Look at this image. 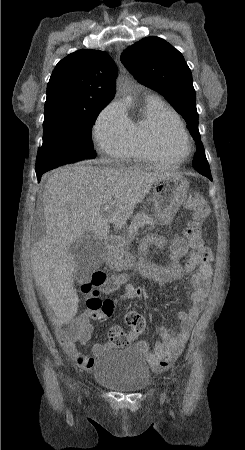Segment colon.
<instances>
[{"mask_svg":"<svg viewBox=\"0 0 245 450\" xmlns=\"http://www.w3.org/2000/svg\"><path fill=\"white\" fill-rule=\"evenodd\" d=\"M186 208L191 212L192 219L184 228V236L188 245L198 254L203 262H210L213 259L212 252L203 240L202 222L209 214V206L199 192H190L186 199ZM125 277L122 274L107 275L102 271H93L87 277L82 289L86 292L108 293ZM104 303L96 297L90 300V307L93 310H100ZM125 322L130 328L129 332H124L120 328H113L110 331V338L117 346H125L133 343L143 332L146 322L144 317L137 311H130L125 316ZM53 325L63 341H81L90 330V324L80 320H54Z\"/></svg>","mask_w":245,"mask_h":450,"instance_id":"5ec220e1","label":"colon"}]
</instances>
